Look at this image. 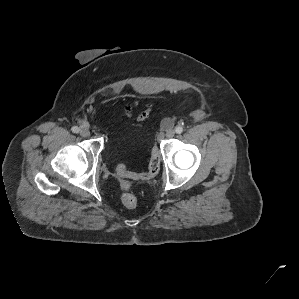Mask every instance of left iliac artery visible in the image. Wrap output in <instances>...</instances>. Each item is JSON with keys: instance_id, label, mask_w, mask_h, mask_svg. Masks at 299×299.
Segmentation results:
<instances>
[{"instance_id": "44dca946", "label": "left iliac artery", "mask_w": 299, "mask_h": 299, "mask_svg": "<svg viewBox=\"0 0 299 299\" xmlns=\"http://www.w3.org/2000/svg\"><path fill=\"white\" fill-rule=\"evenodd\" d=\"M175 131L177 134H181L183 132V128L181 126H177Z\"/></svg>"}]
</instances>
